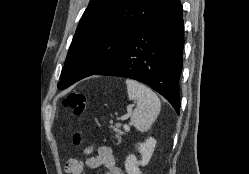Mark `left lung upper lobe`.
Returning a JSON list of instances; mask_svg holds the SVG:
<instances>
[{
  "instance_id": "left-lung-upper-lobe-1",
  "label": "left lung upper lobe",
  "mask_w": 249,
  "mask_h": 174,
  "mask_svg": "<svg viewBox=\"0 0 249 174\" xmlns=\"http://www.w3.org/2000/svg\"><path fill=\"white\" fill-rule=\"evenodd\" d=\"M164 0H90L62 69L59 89L94 75L127 46Z\"/></svg>"
}]
</instances>
